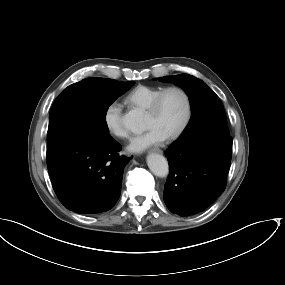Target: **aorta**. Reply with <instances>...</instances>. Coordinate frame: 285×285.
<instances>
[{
  "label": "aorta",
  "mask_w": 285,
  "mask_h": 285,
  "mask_svg": "<svg viewBox=\"0 0 285 285\" xmlns=\"http://www.w3.org/2000/svg\"><path fill=\"white\" fill-rule=\"evenodd\" d=\"M123 126L131 131H137L143 123V115L140 111L131 110L121 118ZM147 165L151 172L158 177H166L169 173V165L164 156L150 154L147 157Z\"/></svg>",
  "instance_id": "obj_1"
}]
</instances>
